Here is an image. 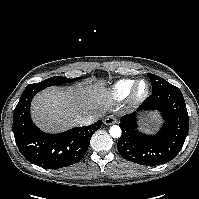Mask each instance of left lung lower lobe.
<instances>
[{
  "label": "left lung lower lobe",
  "instance_id": "obj_1",
  "mask_svg": "<svg viewBox=\"0 0 199 199\" xmlns=\"http://www.w3.org/2000/svg\"><path fill=\"white\" fill-rule=\"evenodd\" d=\"M140 110H158L164 118L160 132L150 136L137 130L136 114L121 117L122 135L117 143L128 161L156 166L172 160L181 150L189 130L188 113L180 89L151 94Z\"/></svg>",
  "mask_w": 199,
  "mask_h": 199
}]
</instances>
